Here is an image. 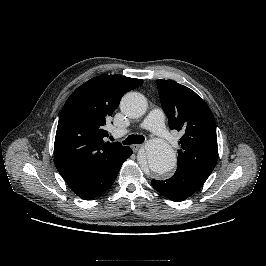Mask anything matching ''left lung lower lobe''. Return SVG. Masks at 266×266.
<instances>
[{
  "label": "left lung lower lobe",
  "mask_w": 266,
  "mask_h": 266,
  "mask_svg": "<svg viewBox=\"0 0 266 266\" xmlns=\"http://www.w3.org/2000/svg\"><path fill=\"white\" fill-rule=\"evenodd\" d=\"M205 181L196 179L189 174L176 170L175 174L164 181L152 180L156 191L173 201H183L194 194Z\"/></svg>",
  "instance_id": "left-lung-lower-lobe-1"
}]
</instances>
